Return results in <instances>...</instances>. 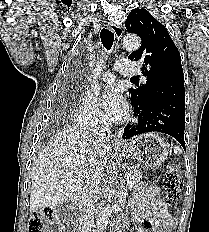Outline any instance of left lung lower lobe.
Listing matches in <instances>:
<instances>
[{"mask_svg": "<svg viewBox=\"0 0 209 232\" xmlns=\"http://www.w3.org/2000/svg\"><path fill=\"white\" fill-rule=\"evenodd\" d=\"M134 115L138 117V122L124 129L123 139L147 132H162L174 137L185 149L184 100H158L139 111L134 110Z\"/></svg>", "mask_w": 209, "mask_h": 232, "instance_id": "obj_1", "label": "left lung lower lobe"}]
</instances>
